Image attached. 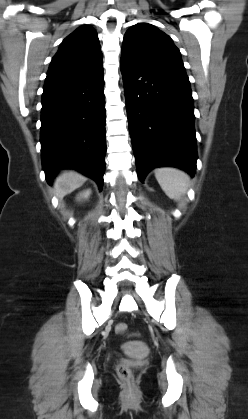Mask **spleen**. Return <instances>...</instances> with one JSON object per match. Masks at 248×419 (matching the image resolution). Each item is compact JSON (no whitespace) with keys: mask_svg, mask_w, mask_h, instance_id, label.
I'll return each instance as SVG.
<instances>
[{"mask_svg":"<svg viewBox=\"0 0 248 419\" xmlns=\"http://www.w3.org/2000/svg\"><path fill=\"white\" fill-rule=\"evenodd\" d=\"M155 177L165 194L178 201L186 193L189 186V176L176 168H159Z\"/></svg>","mask_w":248,"mask_h":419,"instance_id":"spleen-1","label":"spleen"}]
</instances>
